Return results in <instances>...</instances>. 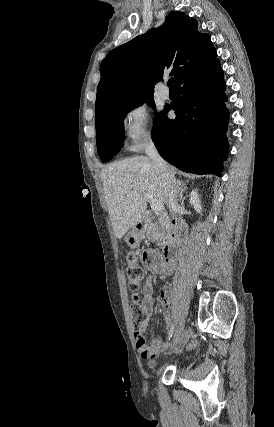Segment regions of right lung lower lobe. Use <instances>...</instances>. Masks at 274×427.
<instances>
[{
  "mask_svg": "<svg viewBox=\"0 0 274 427\" xmlns=\"http://www.w3.org/2000/svg\"><path fill=\"white\" fill-rule=\"evenodd\" d=\"M175 89L176 99L153 126L158 152L184 172L220 177V160L228 154L225 134L229 120L220 63L190 73ZM170 108L175 110L174 120L166 117Z\"/></svg>",
  "mask_w": 274,
  "mask_h": 427,
  "instance_id": "98d812e1",
  "label": "right lung lower lobe"
}]
</instances>
